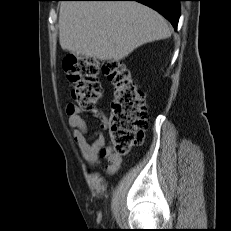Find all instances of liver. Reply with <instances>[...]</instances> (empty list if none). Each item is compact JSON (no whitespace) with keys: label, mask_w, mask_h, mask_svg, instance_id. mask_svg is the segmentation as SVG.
I'll return each mask as SVG.
<instances>
[{"label":"liver","mask_w":231,"mask_h":231,"mask_svg":"<svg viewBox=\"0 0 231 231\" xmlns=\"http://www.w3.org/2000/svg\"><path fill=\"white\" fill-rule=\"evenodd\" d=\"M58 27L63 50L116 62L141 45L172 34L164 17L131 1L62 2Z\"/></svg>","instance_id":"obj_1"}]
</instances>
